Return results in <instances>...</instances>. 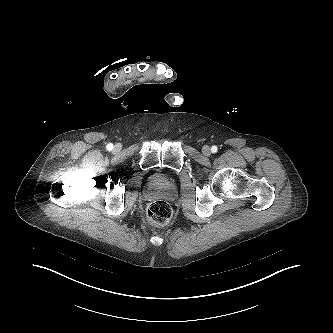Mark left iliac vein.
<instances>
[{"label":"left iliac vein","mask_w":333,"mask_h":333,"mask_svg":"<svg viewBox=\"0 0 333 333\" xmlns=\"http://www.w3.org/2000/svg\"><path fill=\"white\" fill-rule=\"evenodd\" d=\"M202 153L205 155V156H210L211 155V149L209 146L205 145L203 148H202Z\"/></svg>","instance_id":"4c4485c4"}]
</instances>
